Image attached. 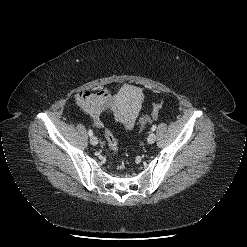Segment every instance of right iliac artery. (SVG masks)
I'll list each match as a JSON object with an SVG mask.
<instances>
[{"instance_id": "right-iliac-artery-1", "label": "right iliac artery", "mask_w": 247, "mask_h": 247, "mask_svg": "<svg viewBox=\"0 0 247 247\" xmlns=\"http://www.w3.org/2000/svg\"><path fill=\"white\" fill-rule=\"evenodd\" d=\"M88 134H89V136H93V131L91 129H89Z\"/></svg>"}]
</instances>
